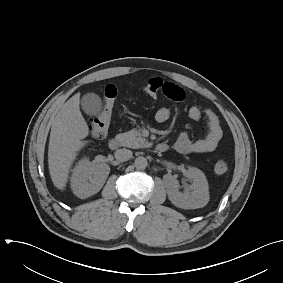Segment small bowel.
Masks as SVG:
<instances>
[{"instance_id":"obj_1","label":"small bowel","mask_w":283,"mask_h":283,"mask_svg":"<svg viewBox=\"0 0 283 283\" xmlns=\"http://www.w3.org/2000/svg\"><path fill=\"white\" fill-rule=\"evenodd\" d=\"M161 93L173 101H182L185 98V91L170 81H163ZM188 116L193 120H205L208 128L207 134L202 138L193 140L187 132H182L172 148L182 154L214 151L222 138V129L216 114L210 109L203 110L197 106H192L188 109ZM169 117L170 111L165 107L158 109L155 114L156 121L159 123L166 122Z\"/></svg>"}]
</instances>
